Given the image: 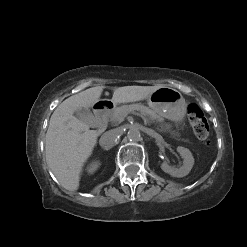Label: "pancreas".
Masks as SVG:
<instances>
[{
  "label": "pancreas",
  "mask_w": 247,
  "mask_h": 247,
  "mask_svg": "<svg viewBox=\"0 0 247 247\" xmlns=\"http://www.w3.org/2000/svg\"><path fill=\"white\" fill-rule=\"evenodd\" d=\"M135 111H139L142 115L149 116L156 122H163V118L154 110L141 104H130L117 107L110 114H108L107 121H110L114 125H118L124 120L128 113Z\"/></svg>",
  "instance_id": "pancreas-1"
}]
</instances>
